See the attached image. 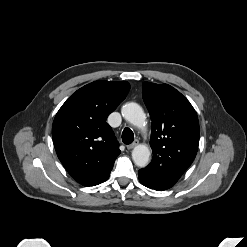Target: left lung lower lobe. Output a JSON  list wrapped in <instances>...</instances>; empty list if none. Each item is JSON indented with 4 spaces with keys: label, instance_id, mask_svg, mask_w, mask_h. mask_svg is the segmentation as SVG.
I'll use <instances>...</instances> for the list:
<instances>
[{
    "label": "left lung lower lobe",
    "instance_id": "1",
    "mask_svg": "<svg viewBox=\"0 0 247 247\" xmlns=\"http://www.w3.org/2000/svg\"><path fill=\"white\" fill-rule=\"evenodd\" d=\"M139 180L144 186H146L150 189H155L157 191H163V190H166V189L172 187L169 184H167L166 182H164L161 179L143 171L142 169L139 170Z\"/></svg>",
    "mask_w": 247,
    "mask_h": 247
}]
</instances>
